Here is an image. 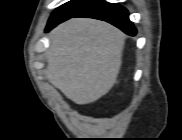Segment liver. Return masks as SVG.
Masks as SVG:
<instances>
[{
  "label": "liver",
  "mask_w": 182,
  "mask_h": 140,
  "mask_svg": "<svg viewBox=\"0 0 182 140\" xmlns=\"http://www.w3.org/2000/svg\"><path fill=\"white\" fill-rule=\"evenodd\" d=\"M46 77L68 99L97 101L116 82L125 35L94 19H70L50 32Z\"/></svg>",
  "instance_id": "1"
}]
</instances>
